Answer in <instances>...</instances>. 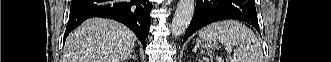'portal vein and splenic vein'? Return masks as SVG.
Returning a JSON list of instances; mask_svg holds the SVG:
<instances>
[{"label":"portal vein and splenic vein","mask_w":331,"mask_h":62,"mask_svg":"<svg viewBox=\"0 0 331 62\" xmlns=\"http://www.w3.org/2000/svg\"><path fill=\"white\" fill-rule=\"evenodd\" d=\"M227 52H228V53H230V52H231V49H230V48H229V49H227Z\"/></svg>","instance_id":"18ae733b"}]
</instances>
